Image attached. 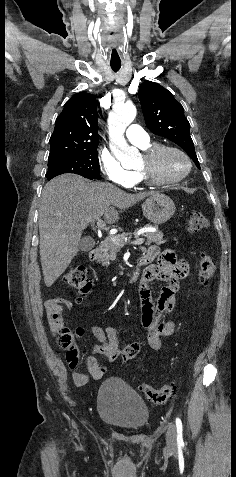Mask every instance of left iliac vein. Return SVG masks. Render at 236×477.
Listing matches in <instances>:
<instances>
[{
    "label": "left iliac vein",
    "mask_w": 236,
    "mask_h": 477,
    "mask_svg": "<svg viewBox=\"0 0 236 477\" xmlns=\"http://www.w3.org/2000/svg\"><path fill=\"white\" fill-rule=\"evenodd\" d=\"M167 447L175 449L177 446V431L175 425L169 426L166 434Z\"/></svg>",
    "instance_id": "4c4485c4"
}]
</instances>
